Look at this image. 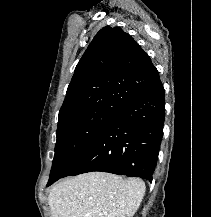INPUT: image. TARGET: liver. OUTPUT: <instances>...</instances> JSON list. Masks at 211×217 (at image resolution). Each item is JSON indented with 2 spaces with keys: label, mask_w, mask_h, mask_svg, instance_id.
<instances>
[{
  "label": "liver",
  "mask_w": 211,
  "mask_h": 217,
  "mask_svg": "<svg viewBox=\"0 0 211 217\" xmlns=\"http://www.w3.org/2000/svg\"><path fill=\"white\" fill-rule=\"evenodd\" d=\"M145 189L139 178L89 172L57 183L48 203L52 217H132Z\"/></svg>",
  "instance_id": "6515ba94"
}]
</instances>
